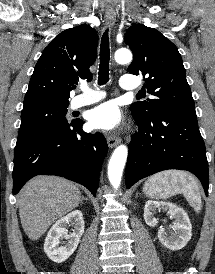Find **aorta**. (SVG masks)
Returning <instances> with one entry per match:
<instances>
[{
	"mask_svg": "<svg viewBox=\"0 0 215 274\" xmlns=\"http://www.w3.org/2000/svg\"><path fill=\"white\" fill-rule=\"evenodd\" d=\"M115 60L119 64L131 62L132 53L126 48L118 49L115 52ZM128 149L125 145L118 146L108 164V178L111 185L117 189L120 185L123 169L127 160Z\"/></svg>",
	"mask_w": 215,
	"mask_h": 274,
	"instance_id": "obj_1",
	"label": "aorta"
}]
</instances>
